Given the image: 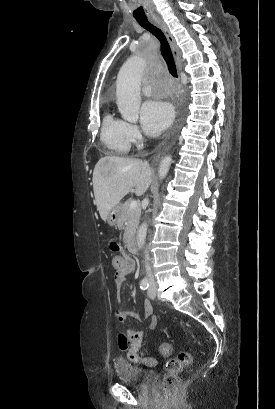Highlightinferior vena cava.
Segmentation results:
<instances>
[{"instance_id": "1", "label": "inferior vena cava", "mask_w": 275, "mask_h": 409, "mask_svg": "<svg viewBox=\"0 0 275 409\" xmlns=\"http://www.w3.org/2000/svg\"><path fill=\"white\" fill-rule=\"evenodd\" d=\"M145 269H146V275L148 277V281H154V277L152 275V271H151V267L149 263L148 251H146V255H145Z\"/></svg>"}]
</instances>
